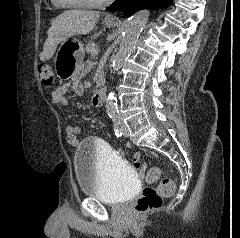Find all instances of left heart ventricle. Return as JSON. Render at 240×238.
<instances>
[{"label": "left heart ventricle", "mask_w": 240, "mask_h": 238, "mask_svg": "<svg viewBox=\"0 0 240 238\" xmlns=\"http://www.w3.org/2000/svg\"><path fill=\"white\" fill-rule=\"evenodd\" d=\"M70 1L98 2V1H102V0H70Z\"/></svg>", "instance_id": "b2bd125f"}]
</instances>
